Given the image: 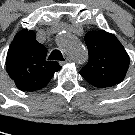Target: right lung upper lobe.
<instances>
[{
	"label": "right lung upper lobe",
	"instance_id": "right-lung-upper-lobe-1",
	"mask_svg": "<svg viewBox=\"0 0 135 135\" xmlns=\"http://www.w3.org/2000/svg\"><path fill=\"white\" fill-rule=\"evenodd\" d=\"M47 49L37 42L32 30L23 29L12 41L6 70L18 89L33 92L44 88L61 66L46 60Z\"/></svg>",
	"mask_w": 135,
	"mask_h": 135
}]
</instances>
